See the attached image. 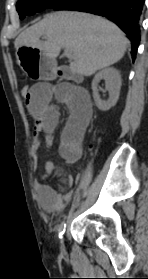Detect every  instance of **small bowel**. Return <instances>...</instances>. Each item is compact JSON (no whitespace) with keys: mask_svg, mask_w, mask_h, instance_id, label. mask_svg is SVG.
<instances>
[{"mask_svg":"<svg viewBox=\"0 0 148 279\" xmlns=\"http://www.w3.org/2000/svg\"><path fill=\"white\" fill-rule=\"evenodd\" d=\"M56 104H66L71 111L61 134L59 153L67 163L73 164L82 157L84 136L93 113L88 93L78 86L41 82L30 88L26 106L35 123V137L31 150L33 153L39 150L40 135L48 146L52 144L59 120ZM52 173L60 177L61 184L67 189L71 188L79 178L65 175L51 162L45 164L44 174L34 182L35 194L43 209L57 211L71 199L72 191L69 189L65 193H59L53 186L46 184L44 182L46 177Z\"/></svg>","mask_w":148,"mask_h":279,"instance_id":"obj_1","label":"small bowel"}]
</instances>
